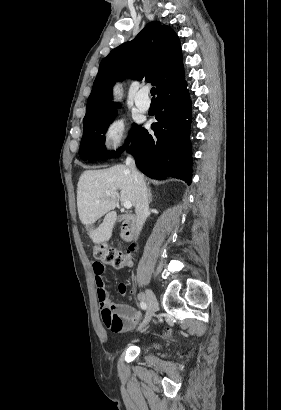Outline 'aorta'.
Here are the masks:
<instances>
[{
  "label": "aorta",
  "instance_id": "762f6f07",
  "mask_svg": "<svg viewBox=\"0 0 281 410\" xmlns=\"http://www.w3.org/2000/svg\"><path fill=\"white\" fill-rule=\"evenodd\" d=\"M114 92H115V94H116V95H119V94H120V90H119V88H118V87H116V88L114 89Z\"/></svg>",
  "mask_w": 281,
  "mask_h": 410
}]
</instances>
